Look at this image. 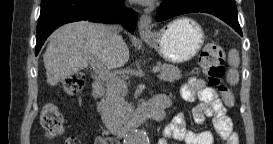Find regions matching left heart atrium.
I'll use <instances>...</instances> for the list:
<instances>
[{"mask_svg":"<svg viewBox=\"0 0 273 144\" xmlns=\"http://www.w3.org/2000/svg\"><path fill=\"white\" fill-rule=\"evenodd\" d=\"M139 2H141L142 4H152L154 2V0H138Z\"/></svg>","mask_w":273,"mask_h":144,"instance_id":"obj_1","label":"left heart atrium"}]
</instances>
